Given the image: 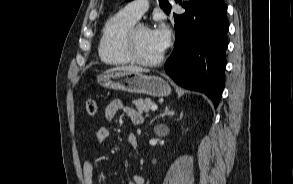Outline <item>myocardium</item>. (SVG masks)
Masks as SVG:
<instances>
[{"label": "myocardium", "mask_w": 293, "mask_h": 184, "mask_svg": "<svg viewBox=\"0 0 293 184\" xmlns=\"http://www.w3.org/2000/svg\"><path fill=\"white\" fill-rule=\"evenodd\" d=\"M140 28L148 29V26L144 23H135L127 32L125 39V49L132 62L143 65V66H154L159 64L163 58L164 53L161 52L159 56L153 59H143L139 56L136 50L135 37L136 33Z\"/></svg>", "instance_id": "myocardium-1"}]
</instances>
